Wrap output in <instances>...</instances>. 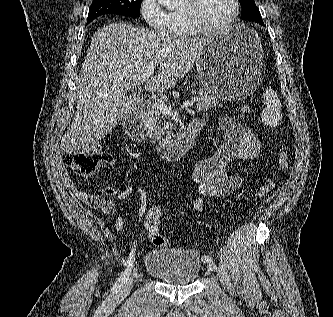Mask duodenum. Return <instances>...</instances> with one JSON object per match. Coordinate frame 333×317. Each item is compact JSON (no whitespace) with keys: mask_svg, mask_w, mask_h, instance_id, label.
Segmentation results:
<instances>
[{"mask_svg":"<svg viewBox=\"0 0 333 317\" xmlns=\"http://www.w3.org/2000/svg\"><path fill=\"white\" fill-rule=\"evenodd\" d=\"M144 105H138L124 119V129L127 135L138 144H147L148 139L144 128ZM202 122L193 120L182 130L180 135L170 141H164L156 146L158 155L165 161H176L183 157L192 147L202 129Z\"/></svg>","mask_w":333,"mask_h":317,"instance_id":"1","label":"duodenum"}]
</instances>
